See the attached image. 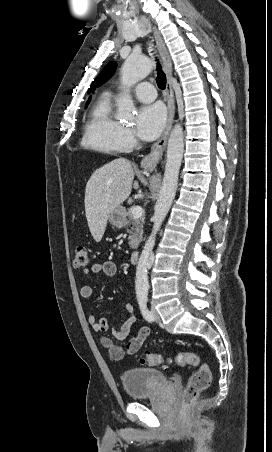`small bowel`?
I'll list each match as a JSON object with an SVG mask.
<instances>
[{"label":"small bowel","instance_id":"obj_1","mask_svg":"<svg viewBox=\"0 0 272 452\" xmlns=\"http://www.w3.org/2000/svg\"><path fill=\"white\" fill-rule=\"evenodd\" d=\"M90 272L93 274H104L109 277H113L117 273V265L114 261L111 260H105L100 263H94L91 266V269H85L83 273L85 275H88ZM80 295L84 299H89L93 295V287L89 284H85L80 288ZM126 312H127V319L126 321L118 328L112 329V336L115 339L123 340L130 336L131 331L134 327V325L137 322V315L135 308L132 304L128 303L125 306ZM88 322L91 325L92 329L95 332H104L109 329V321L106 318H100L98 319L95 315H90L88 318ZM151 330L149 327H143L141 328L136 336L132 337L130 341L137 340L138 341V350L141 348L144 341L148 338L150 335ZM102 343L105 347L109 348L111 351L112 356L115 359H120L123 355V352L117 348H114L111 344V341L107 338H104L102 340Z\"/></svg>","mask_w":272,"mask_h":452}]
</instances>
